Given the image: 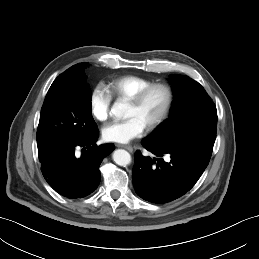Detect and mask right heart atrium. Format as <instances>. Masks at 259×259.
I'll list each match as a JSON object with an SVG mask.
<instances>
[{
  "label": "right heart atrium",
  "mask_w": 259,
  "mask_h": 259,
  "mask_svg": "<svg viewBox=\"0 0 259 259\" xmlns=\"http://www.w3.org/2000/svg\"><path fill=\"white\" fill-rule=\"evenodd\" d=\"M112 96L102 84H97L90 93L92 115L99 121H105L110 115Z\"/></svg>",
  "instance_id": "d8ad5b80"
}]
</instances>
